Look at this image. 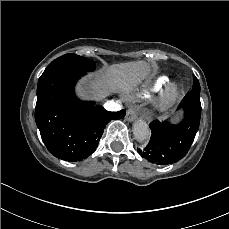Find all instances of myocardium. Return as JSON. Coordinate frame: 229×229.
Returning a JSON list of instances; mask_svg holds the SVG:
<instances>
[{
	"label": "myocardium",
	"instance_id": "f54148a6",
	"mask_svg": "<svg viewBox=\"0 0 229 229\" xmlns=\"http://www.w3.org/2000/svg\"><path fill=\"white\" fill-rule=\"evenodd\" d=\"M180 94V86L177 83H172L166 91V94L163 98L162 106L168 107L170 106L174 100Z\"/></svg>",
	"mask_w": 229,
	"mask_h": 229
}]
</instances>
